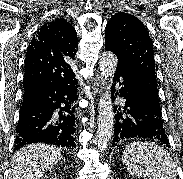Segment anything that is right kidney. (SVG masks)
<instances>
[{
    "label": "right kidney",
    "mask_w": 183,
    "mask_h": 179,
    "mask_svg": "<svg viewBox=\"0 0 183 179\" xmlns=\"http://www.w3.org/2000/svg\"><path fill=\"white\" fill-rule=\"evenodd\" d=\"M51 179H59V178H56V177H55V178H51Z\"/></svg>",
    "instance_id": "1"
}]
</instances>
